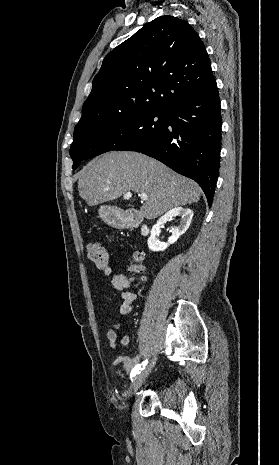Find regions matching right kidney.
Returning <instances> with one entry per match:
<instances>
[{
  "mask_svg": "<svg viewBox=\"0 0 279 465\" xmlns=\"http://www.w3.org/2000/svg\"><path fill=\"white\" fill-rule=\"evenodd\" d=\"M181 217L180 224L178 226L173 227L170 230L171 236L168 238V241L160 242L157 239V236L161 232V227L166 222L171 220L173 217ZM193 218V211L188 208L182 207H175L168 212H166L157 223L152 227L150 237L148 238V248L151 251H163L165 250L170 244L175 243L178 238L183 235L190 226L191 220Z\"/></svg>",
  "mask_w": 279,
  "mask_h": 465,
  "instance_id": "ca27d5eb",
  "label": "right kidney"
}]
</instances>
